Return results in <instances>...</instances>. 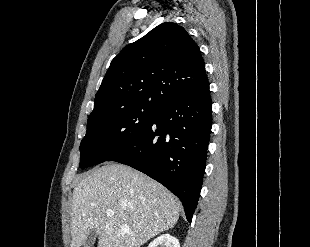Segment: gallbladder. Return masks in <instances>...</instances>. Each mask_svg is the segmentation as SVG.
<instances>
[{"instance_id":"gallbladder-1","label":"gallbladder","mask_w":310,"mask_h":247,"mask_svg":"<svg viewBox=\"0 0 310 247\" xmlns=\"http://www.w3.org/2000/svg\"><path fill=\"white\" fill-rule=\"evenodd\" d=\"M96 237H97L96 232L94 230L90 231L83 243V247H93Z\"/></svg>"}]
</instances>
